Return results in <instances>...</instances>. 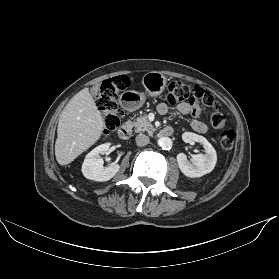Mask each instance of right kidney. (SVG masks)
<instances>
[{"label": "right kidney", "mask_w": 279, "mask_h": 279, "mask_svg": "<svg viewBox=\"0 0 279 279\" xmlns=\"http://www.w3.org/2000/svg\"><path fill=\"white\" fill-rule=\"evenodd\" d=\"M110 152V143L101 144L89 152L82 164V173L85 178L104 182L108 181L119 171V164L103 167V159L100 155Z\"/></svg>", "instance_id": "obj_1"}]
</instances>
